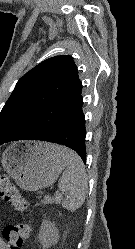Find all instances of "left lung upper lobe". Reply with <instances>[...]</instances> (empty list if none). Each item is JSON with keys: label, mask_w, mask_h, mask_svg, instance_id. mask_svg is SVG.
Returning a JSON list of instances; mask_svg holds the SVG:
<instances>
[{"label": "left lung upper lobe", "mask_w": 135, "mask_h": 249, "mask_svg": "<svg viewBox=\"0 0 135 249\" xmlns=\"http://www.w3.org/2000/svg\"><path fill=\"white\" fill-rule=\"evenodd\" d=\"M82 85L69 55L46 59L17 82L0 113V143L21 131L44 107Z\"/></svg>", "instance_id": "1"}]
</instances>
